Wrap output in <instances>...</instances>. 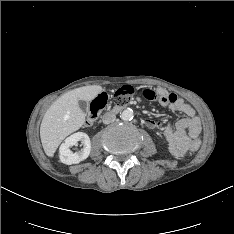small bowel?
Wrapping results in <instances>:
<instances>
[{
  "instance_id": "small-bowel-1",
  "label": "small bowel",
  "mask_w": 234,
  "mask_h": 234,
  "mask_svg": "<svg viewBox=\"0 0 234 234\" xmlns=\"http://www.w3.org/2000/svg\"><path fill=\"white\" fill-rule=\"evenodd\" d=\"M156 92L158 93L156 100L161 106L168 107L171 111L183 115V118L175 125L169 124L163 128L170 152L176 157H183L192 143L198 140L201 131L200 120L193 107L175 93H169L165 90ZM145 122L152 129L161 127L159 121L147 119Z\"/></svg>"
}]
</instances>
